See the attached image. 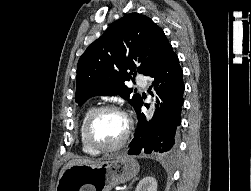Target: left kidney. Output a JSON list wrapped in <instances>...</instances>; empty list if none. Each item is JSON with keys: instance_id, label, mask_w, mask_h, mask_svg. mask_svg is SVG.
<instances>
[{"instance_id": "left-kidney-1", "label": "left kidney", "mask_w": 251, "mask_h": 191, "mask_svg": "<svg viewBox=\"0 0 251 191\" xmlns=\"http://www.w3.org/2000/svg\"><path fill=\"white\" fill-rule=\"evenodd\" d=\"M135 191H157V181L155 177L146 175L141 181H139Z\"/></svg>"}]
</instances>
